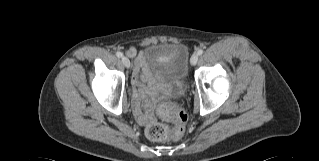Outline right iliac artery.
<instances>
[{"label":"right iliac artery","instance_id":"obj_1","mask_svg":"<svg viewBox=\"0 0 319 161\" xmlns=\"http://www.w3.org/2000/svg\"><path fill=\"white\" fill-rule=\"evenodd\" d=\"M116 56L120 58V57L123 56V53H121V52H116Z\"/></svg>","mask_w":319,"mask_h":161}]
</instances>
